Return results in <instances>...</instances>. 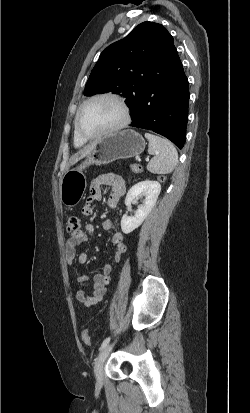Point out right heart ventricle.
Listing matches in <instances>:
<instances>
[{
  "label": "right heart ventricle",
  "instance_id": "1",
  "mask_svg": "<svg viewBox=\"0 0 250 413\" xmlns=\"http://www.w3.org/2000/svg\"><path fill=\"white\" fill-rule=\"evenodd\" d=\"M86 143L85 140L81 139L76 132H74V145L76 147H82Z\"/></svg>",
  "mask_w": 250,
  "mask_h": 413
}]
</instances>
